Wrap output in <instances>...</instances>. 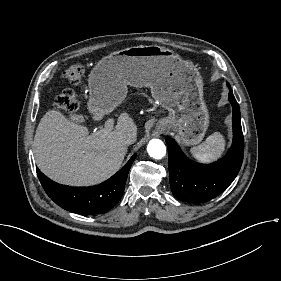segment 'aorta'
<instances>
[{
    "label": "aorta",
    "mask_w": 281,
    "mask_h": 281,
    "mask_svg": "<svg viewBox=\"0 0 281 281\" xmlns=\"http://www.w3.org/2000/svg\"><path fill=\"white\" fill-rule=\"evenodd\" d=\"M147 151L150 157L162 159L166 154V147L160 139H152L148 143Z\"/></svg>",
    "instance_id": "1"
}]
</instances>
